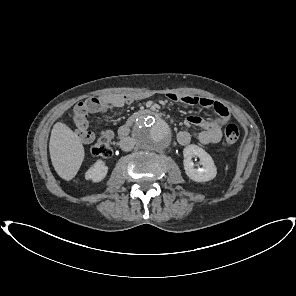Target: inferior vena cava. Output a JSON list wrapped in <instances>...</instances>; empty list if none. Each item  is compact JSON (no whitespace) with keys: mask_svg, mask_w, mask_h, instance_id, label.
I'll return each mask as SVG.
<instances>
[{"mask_svg":"<svg viewBox=\"0 0 296 296\" xmlns=\"http://www.w3.org/2000/svg\"><path fill=\"white\" fill-rule=\"evenodd\" d=\"M120 147L123 151H131L134 147V141L130 137L123 138L120 142Z\"/></svg>","mask_w":296,"mask_h":296,"instance_id":"602c4592","label":"inferior vena cava"}]
</instances>
